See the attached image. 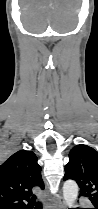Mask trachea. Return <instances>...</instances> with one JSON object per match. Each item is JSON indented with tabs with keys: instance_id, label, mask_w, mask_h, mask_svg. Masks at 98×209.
<instances>
[{
	"instance_id": "trachea-1",
	"label": "trachea",
	"mask_w": 98,
	"mask_h": 209,
	"mask_svg": "<svg viewBox=\"0 0 98 209\" xmlns=\"http://www.w3.org/2000/svg\"><path fill=\"white\" fill-rule=\"evenodd\" d=\"M35 209H42V204H41V203H38V204L35 206Z\"/></svg>"
}]
</instances>
